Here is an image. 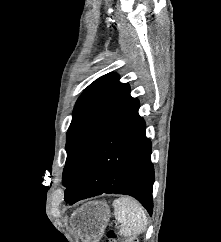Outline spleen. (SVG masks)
<instances>
[{"label":"spleen","mask_w":221,"mask_h":242,"mask_svg":"<svg viewBox=\"0 0 221 242\" xmlns=\"http://www.w3.org/2000/svg\"><path fill=\"white\" fill-rule=\"evenodd\" d=\"M114 215L120 225V235L135 237L146 230L147 217L138 201L131 197H121L113 202Z\"/></svg>","instance_id":"spleen-1"}]
</instances>
